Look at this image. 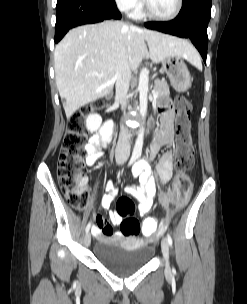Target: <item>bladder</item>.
<instances>
[{
    "label": "bladder",
    "mask_w": 247,
    "mask_h": 304,
    "mask_svg": "<svg viewBox=\"0 0 247 304\" xmlns=\"http://www.w3.org/2000/svg\"><path fill=\"white\" fill-rule=\"evenodd\" d=\"M155 249L133 239H105L96 244L94 256L109 271L128 274L144 268L153 258Z\"/></svg>",
    "instance_id": "obj_1"
}]
</instances>
